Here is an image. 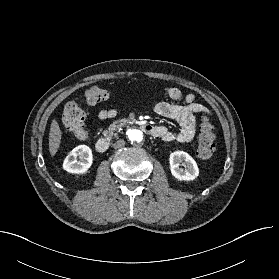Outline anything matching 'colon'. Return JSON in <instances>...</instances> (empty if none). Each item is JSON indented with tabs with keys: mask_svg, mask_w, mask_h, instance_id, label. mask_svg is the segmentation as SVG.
<instances>
[{
	"mask_svg": "<svg viewBox=\"0 0 279 279\" xmlns=\"http://www.w3.org/2000/svg\"><path fill=\"white\" fill-rule=\"evenodd\" d=\"M110 92L101 87H91L84 93L85 103L95 105L107 100ZM62 122L64 126L71 131L79 140L89 139V133L85 128V113L75 102H69L65 105L62 113ZM215 152V135L213 125L204 118L200 127L199 145L197 154L201 159H210Z\"/></svg>",
	"mask_w": 279,
	"mask_h": 279,
	"instance_id": "obj_1",
	"label": "colon"
}]
</instances>
